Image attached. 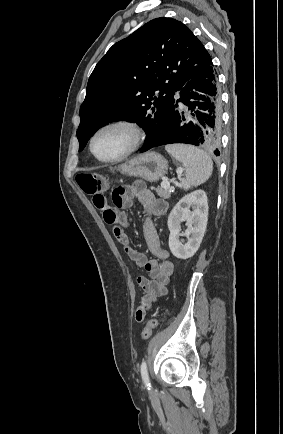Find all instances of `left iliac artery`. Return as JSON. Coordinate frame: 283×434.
I'll use <instances>...</instances> for the list:
<instances>
[{
	"instance_id": "1",
	"label": "left iliac artery",
	"mask_w": 283,
	"mask_h": 434,
	"mask_svg": "<svg viewBox=\"0 0 283 434\" xmlns=\"http://www.w3.org/2000/svg\"><path fill=\"white\" fill-rule=\"evenodd\" d=\"M141 376H142V380H143L145 386L147 387L148 390H150L151 384H150V380H149L146 361H143L141 364Z\"/></svg>"
}]
</instances>
